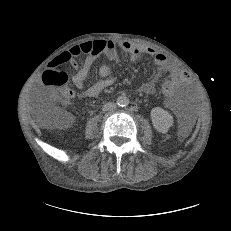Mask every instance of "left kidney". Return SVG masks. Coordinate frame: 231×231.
I'll use <instances>...</instances> for the list:
<instances>
[{
  "label": "left kidney",
  "instance_id": "1",
  "mask_svg": "<svg viewBox=\"0 0 231 231\" xmlns=\"http://www.w3.org/2000/svg\"><path fill=\"white\" fill-rule=\"evenodd\" d=\"M150 114L154 128L161 133H166L173 125V116L160 107L153 108Z\"/></svg>",
  "mask_w": 231,
  "mask_h": 231
}]
</instances>
